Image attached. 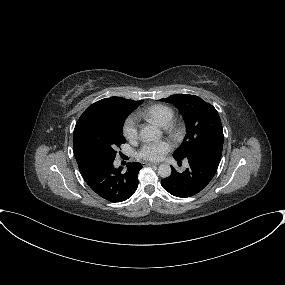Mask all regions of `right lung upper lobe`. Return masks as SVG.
Wrapping results in <instances>:
<instances>
[{
  "instance_id": "1",
  "label": "right lung upper lobe",
  "mask_w": 285,
  "mask_h": 285,
  "mask_svg": "<svg viewBox=\"0 0 285 285\" xmlns=\"http://www.w3.org/2000/svg\"><path fill=\"white\" fill-rule=\"evenodd\" d=\"M139 104H141L140 101L128 100L121 97L105 98L89 106L81 115L78 122H81L96 115L110 113L116 108Z\"/></svg>"
}]
</instances>
